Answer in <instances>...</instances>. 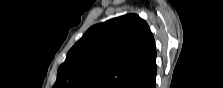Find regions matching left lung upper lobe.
Masks as SVG:
<instances>
[{"label": "left lung upper lobe", "mask_w": 223, "mask_h": 88, "mask_svg": "<svg viewBox=\"0 0 223 88\" xmlns=\"http://www.w3.org/2000/svg\"><path fill=\"white\" fill-rule=\"evenodd\" d=\"M147 23L127 14L92 26L59 67L57 88H130L156 66Z\"/></svg>", "instance_id": "left-lung-upper-lobe-1"}]
</instances>
